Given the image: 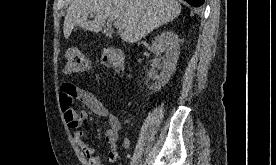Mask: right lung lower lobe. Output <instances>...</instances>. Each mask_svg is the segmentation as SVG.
Wrapping results in <instances>:
<instances>
[{
  "mask_svg": "<svg viewBox=\"0 0 276 165\" xmlns=\"http://www.w3.org/2000/svg\"><path fill=\"white\" fill-rule=\"evenodd\" d=\"M185 1L194 7H199L204 3V0H185Z\"/></svg>",
  "mask_w": 276,
  "mask_h": 165,
  "instance_id": "right-lung-lower-lobe-1",
  "label": "right lung lower lobe"
}]
</instances>
